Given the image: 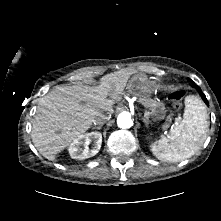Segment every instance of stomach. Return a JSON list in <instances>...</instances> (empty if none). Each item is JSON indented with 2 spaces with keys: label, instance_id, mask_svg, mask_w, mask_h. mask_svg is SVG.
Here are the masks:
<instances>
[{
  "label": "stomach",
  "instance_id": "0dacf381",
  "mask_svg": "<svg viewBox=\"0 0 221 221\" xmlns=\"http://www.w3.org/2000/svg\"><path fill=\"white\" fill-rule=\"evenodd\" d=\"M154 81L152 77L142 74L135 75L128 83V90L131 94L140 99L149 98L154 92Z\"/></svg>",
  "mask_w": 221,
  "mask_h": 221
}]
</instances>
